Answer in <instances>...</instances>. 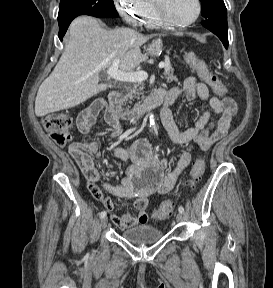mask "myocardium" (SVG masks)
<instances>
[{
	"label": "myocardium",
	"mask_w": 273,
	"mask_h": 288,
	"mask_svg": "<svg viewBox=\"0 0 273 288\" xmlns=\"http://www.w3.org/2000/svg\"><path fill=\"white\" fill-rule=\"evenodd\" d=\"M152 1V5H153V9H154V13L156 18L160 21V23L167 25V26H171V27H175V28H184V27H188L191 24L195 23L200 15H201V11H202V3L201 0H195L196 2V13L195 15L184 22H177L174 21L172 19H170L165 11L163 10V8L158 4L157 0H151Z\"/></svg>",
	"instance_id": "1"
}]
</instances>
